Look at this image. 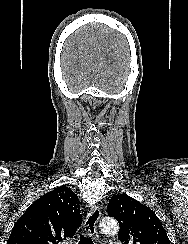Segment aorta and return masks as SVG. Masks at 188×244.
Returning a JSON list of instances; mask_svg holds the SVG:
<instances>
[{
    "mask_svg": "<svg viewBox=\"0 0 188 244\" xmlns=\"http://www.w3.org/2000/svg\"><path fill=\"white\" fill-rule=\"evenodd\" d=\"M100 230L104 234L113 235L118 232L119 226L117 221L111 217H105L100 221Z\"/></svg>",
    "mask_w": 188,
    "mask_h": 244,
    "instance_id": "aorta-1",
    "label": "aorta"
}]
</instances>
